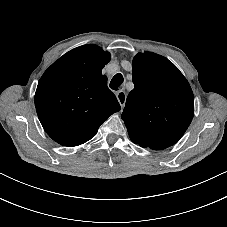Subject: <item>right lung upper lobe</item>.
Here are the masks:
<instances>
[{
    "label": "right lung upper lobe",
    "instance_id": "1",
    "mask_svg": "<svg viewBox=\"0 0 227 227\" xmlns=\"http://www.w3.org/2000/svg\"><path fill=\"white\" fill-rule=\"evenodd\" d=\"M110 54L94 44L77 47L41 77L35 93L39 120L47 134L64 146L90 140L121 107L101 71Z\"/></svg>",
    "mask_w": 227,
    "mask_h": 227
}]
</instances>
